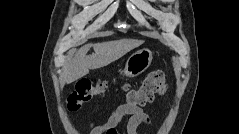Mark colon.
Returning a JSON list of instances; mask_svg holds the SVG:
<instances>
[{"mask_svg":"<svg viewBox=\"0 0 239 134\" xmlns=\"http://www.w3.org/2000/svg\"><path fill=\"white\" fill-rule=\"evenodd\" d=\"M107 83L104 80L93 82L88 78L80 79L75 90L70 94L67 101L68 110L78 111L84 104L90 102L95 96L104 92ZM128 104L144 106L154 100L156 94H164L166 91L165 74L160 71H152L143 80L138 89H131L125 86Z\"/></svg>","mask_w":239,"mask_h":134,"instance_id":"1","label":"colon"}]
</instances>
